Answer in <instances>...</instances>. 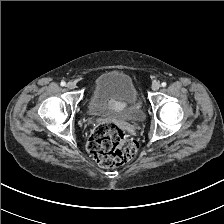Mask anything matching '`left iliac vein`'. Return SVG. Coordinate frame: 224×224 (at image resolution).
<instances>
[{"label":"left iliac vein","mask_w":224,"mask_h":224,"mask_svg":"<svg viewBox=\"0 0 224 224\" xmlns=\"http://www.w3.org/2000/svg\"><path fill=\"white\" fill-rule=\"evenodd\" d=\"M160 88V83L155 81L153 84H152V90L153 91H157L158 89Z\"/></svg>","instance_id":"4c4485c4"}]
</instances>
